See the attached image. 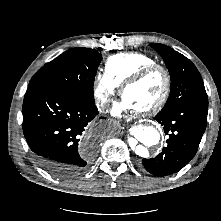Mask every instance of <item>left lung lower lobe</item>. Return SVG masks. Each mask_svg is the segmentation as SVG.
<instances>
[{
    "label": "left lung lower lobe",
    "instance_id": "obj_1",
    "mask_svg": "<svg viewBox=\"0 0 221 221\" xmlns=\"http://www.w3.org/2000/svg\"><path fill=\"white\" fill-rule=\"evenodd\" d=\"M208 103L188 102L155 116L169 136L167 146L152 159H143L145 169L155 176L178 172L195 156L207 125Z\"/></svg>",
    "mask_w": 221,
    "mask_h": 221
}]
</instances>
